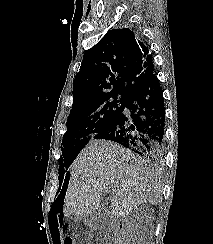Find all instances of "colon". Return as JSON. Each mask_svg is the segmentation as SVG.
<instances>
[{
    "label": "colon",
    "mask_w": 213,
    "mask_h": 244,
    "mask_svg": "<svg viewBox=\"0 0 213 244\" xmlns=\"http://www.w3.org/2000/svg\"><path fill=\"white\" fill-rule=\"evenodd\" d=\"M63 244H76V242L73 239H71V238H66L63 241Z\"/></svg>",
    "instance_id": "5ec220e1"
}]
</instances>
